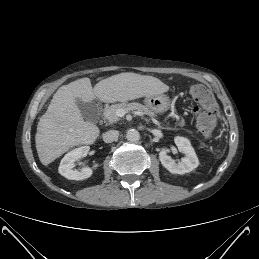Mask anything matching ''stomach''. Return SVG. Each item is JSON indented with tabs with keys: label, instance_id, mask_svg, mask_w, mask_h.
Instances as JSON below:
<instances>
[{
	"label": "stomach",
	"instance_id": "obj_1",
	"mask_svg": "<svg viewBox=\"0 0 259 259\" xmlns=\"http://www.w3.org/2000/svg\"><path fill=\"white\" fill-rule=\"evenodd\" d=\"M144 102L150 110L156 113L165 112L170 107V99L164 94L148 96Z\"/></svg>",
	"mask_w": 259,
	"mask_h": 259
}]
</instances>
